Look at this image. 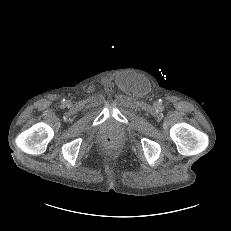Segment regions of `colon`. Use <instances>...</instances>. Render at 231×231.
<instances>
[{
    "instance_id": "5ec220e1",
    "label": "colon",
    "mask_w": 231,
    "mask_h": 231,
    "mask_svg": "<svg viewBox=\"0 0 231 231\" xmlns=\"http://www.w3.org/2000/svg\"><path fill=\"white\" fill-rule=\"evenodd\" d=\"M104 147L107 150H114L116 147L115 141L112 138H106L104 140Z\"/></svg>"
}]
</instances>
